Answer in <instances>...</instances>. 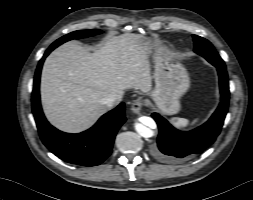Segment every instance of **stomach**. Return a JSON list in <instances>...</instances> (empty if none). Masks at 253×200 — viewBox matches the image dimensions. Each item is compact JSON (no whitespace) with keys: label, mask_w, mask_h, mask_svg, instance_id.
<instances>
[{"label":"stomach","mask_w":253,"mask_h":200,"mask_svg":"<svg viewBox=\"0 0 253 200\" xmlns=\"http://www.w3.org/2000/svg\"><path fill=\"white\" fill-rule=\"evenodd\" d=\"M139 41L151 50L155 49V88L150 94L151 98L164 114H176L180 110L179 99L190 86L186 69L175 58L165 54L154 38L139 35Z\"/></svg>","instance_id":"obj_1"}]
</instances>
